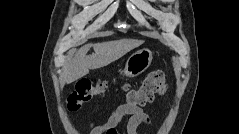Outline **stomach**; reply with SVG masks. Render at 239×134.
I'll list each match as a JSON object with an SVG mask.
<instances>
[{
  "instance_id": "0dacf381",
  "label": "stomach",
  "mask_w": 239,
  "mask_h": 134,
  "mask_svg": "<svg viewBox=\"0 0 239 134\" xmlns=\"http://www.w3.org/2000/svg\"><path fill=\"white\" fill-rule=\"evenodd\" d=\"M153 59L151 50L144 48L133 53L127 60L124 74L127 77H136L149 68Z\"/></svg>"
}]
</instances>
